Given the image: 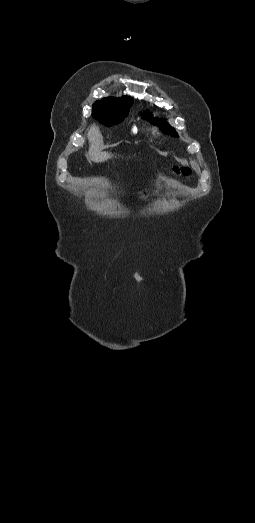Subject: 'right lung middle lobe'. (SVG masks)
<instances>
[{"instance_id":"1","label":"right lung middle lobe","mask_w":255,"mask_h":523,"mask_svg":"<svg viewBox=\"0 0 255 523\" xmlns=\"http://www.w3.org/2000/svg\"><path fill=\"white\" fill-rule=\"evenodd\" d=\"M133 102L96 105L92 108V116L105 126L118 124L128 115Z\"/></svg>"}]
</instances>
